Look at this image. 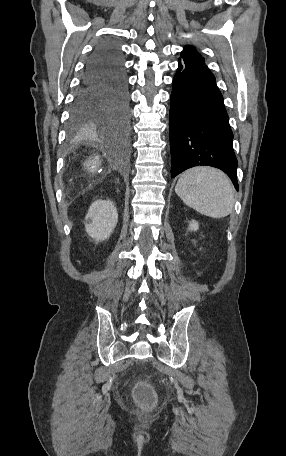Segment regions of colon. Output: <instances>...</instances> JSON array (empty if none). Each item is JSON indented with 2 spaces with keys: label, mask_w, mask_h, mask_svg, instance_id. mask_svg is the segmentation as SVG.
Instances as JSON below:
<instances>
[{
  "label": "colon",
  "mask_w": 286,
  "mask_h": 456,
  "mask_svg": "<svg viewBox=\"0 0 286 456\" xmlns=\"http://www.w3.org/2000/svg\"><path fill=\"white\" fill-rule=\"evenodd\" d=\"M136 400L144 407H151L155 403V392L152 386L138 383L134 388Z\"/></svg>",
  "instance_id": "5ec220e1"
}]
</instances>
